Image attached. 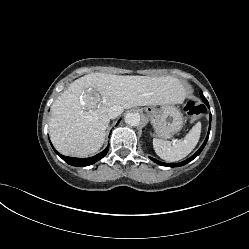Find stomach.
<instances>
[{"label": "stomach", "mask_w": 249, "mask_h": 249, "mask_svg": "<svg viewBox=\"0 0 249 249\" xmlns=\"http://www.w3.org/2000/svg\"><path fill=\"white\" fill-rule=\"evenodd\" d=\"M153 128L154 136L161 139L171 138L183 127V114L173 105H162L159 109H145Z\"/></svg>", "instance_id": "obj_1"}]
</instances>
